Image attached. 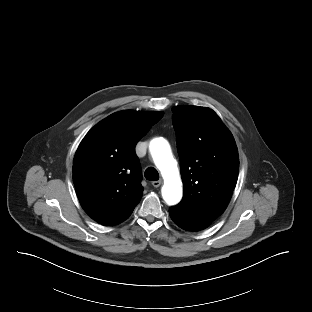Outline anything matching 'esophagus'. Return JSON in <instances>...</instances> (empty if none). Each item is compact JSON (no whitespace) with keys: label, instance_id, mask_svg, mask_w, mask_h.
<instances>
[{"label":"esophagus","instance_id":"34e87169","mask_svg":"<svg viewBox=\"0 0 312 312\" xmlns=\"http://www.w3.org/2000/svg\"><path fill=\"white\" fill-rule=\"evenodd\" d=\"M161 184H162V181H161V180H157V181H153V182H152V185H153L155 188L159 187Z\"/></svg>","mask_w":312,"mask_h":312}]
</instances>
